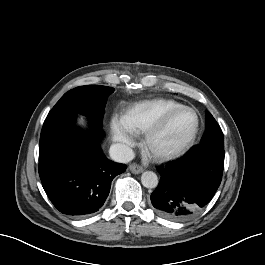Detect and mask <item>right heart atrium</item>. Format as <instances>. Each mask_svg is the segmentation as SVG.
I'll return each mask as SVG.
<instances>
[{"mask_svg":"<svg viewBox=\"0 0 265 265\" xmlns=\"http://www.w3.org/2000/svg\"><path fill=\"white\" fill-rule=\"evenodd\" d=\"M110 131L113 141L121 143L126 147L133 144L132 134L123 126L120 119L113 117L110 122Z\"/></svg>","mask_w":265,"mask_h":265,"instance_id":"obj_1","label":"right heart atrium"}]
</instances>
